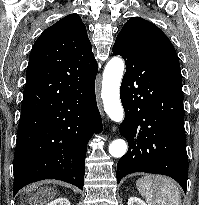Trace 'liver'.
Masks as SVG:
<instances>
[{
    "label": "liver",
    "instance_id": "1",
    "mask_svg": "<svg viewBox=\"0 0 199 205\" xmlns=\"http://www.w3.org/2000/svg\"><path fill=\"white\" fill-rule=\"evenodd\" d=\"M55 194H56L55 192L49 193L47 190H41V191L37 192V194L33 198L30 199V203L31 204L37 203L36 199L39 198V196H41V201L38 203H40V204L45 203L49 200H52L54 198Z\"/></svg>",
    "mask_w": 199,
    "mask_h": 205
}]
</instances>
